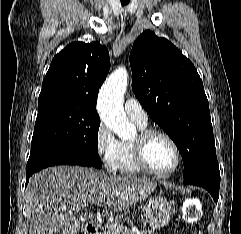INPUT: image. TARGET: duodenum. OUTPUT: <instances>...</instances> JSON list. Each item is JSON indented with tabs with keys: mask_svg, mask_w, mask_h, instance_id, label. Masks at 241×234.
<instances>
[{
	"mask_svg": "<svg viewBox=\"0 0 241 234\" xmlns=\"http://www.w3.org/2000/svg\"><path fill=\"white\" fill-rule=\"evenodd\" d=\"M84 234H98V227L94 221H89L85 224Z\"/></svg>",
	"mask_w": 241,
	"mask_h": 234,
	"instance_id": "duodenum-1",
	"label": "duodenum"
}]
</instances>
